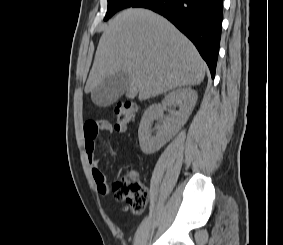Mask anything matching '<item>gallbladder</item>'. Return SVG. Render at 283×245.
<instances>
[{
    "instance_id": "1",
    "label": "gallbladder",
    "mask_w": 283,
    "mask_h": 245,
    "mask_svg": "<svg viewBox=\"0 0 283 245\" xmlns=\"http://www.w3.org/2000/svg\"><path fill=\"white\" fill-rule=\"evenodd\" d=\"M131 78L126 72L115 73L100 82L91 92L94 104L106 107L116 102L127 90Z\"/></svg>"
}]
</instances>
